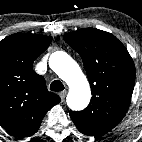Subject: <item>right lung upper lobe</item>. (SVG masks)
Masks as SVG:
<instances>
[{
    "label": "right lung upper lobe",
    "instance_id": "obj_1",
    "mask_svg": "<svg viewBox=\"0 0 142 142\" xmlns=\"http://www.w3.org/2000/svg\"><path fill=\"white\" fill-rule=\"evenodd\" d=\"M51 37L16 33L0 41V125L24 138L36 133L48 110L60 102L32 69Z\"/></svg>",
    "mask_w": 142,
    "mask_h": 142
}]
</instances>
